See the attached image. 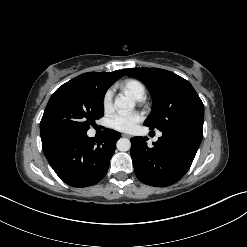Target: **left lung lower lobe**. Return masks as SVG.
I'll list each match as a JSON object with an SVG mask.
<instances>
[{
  "instance_id": "1",
  "label": "left lung lower lobe",
  "mask_w": 247,
  "mask_h": 247,
  "mask_svg": "<svg viewBox=\"0 0 247 247\" xmlns=\"http://www.w3.org/2000/svg\"><path fill=\"white\" fill-rule=\"evenodd\" d=\"M147 137L131 139L130 154L137 178L151 186L166 187L178 182L189 170L201 139L183 130L162 132L153 147Z\"/></svg>"
}]
</instances>
